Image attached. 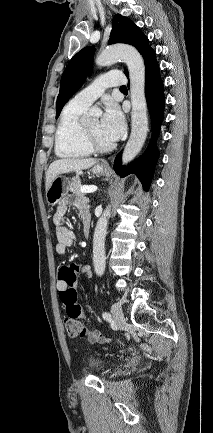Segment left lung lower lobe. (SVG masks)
I'll use <instances>...</instances> for the list:
<instances>
[{
  "label": "left lung lower lobe",
  "mask_w": 213,
  "mask_h": 433,
  "mask_svg": "<svg viewBox=\"0 0 213 433\" xmlns=\"http://www.w3.org/2000/svg\"><path fill=\"white\" fill-rule=\"evenodd\" d=\"M145 64V96L152 122V138L145 153L128 166L122 167L120 152L114 161V170L121 177L128 174H136L148 191L153 176L154 167L158 159L156 139L158 137L161 123L164 116L165 98L163 93V82L160 77V70L155 58V52L150 49L143 57Z\"/></svg>",
  "instance_id": "left-lung-lower-lobe-1"
}]
</instances>
